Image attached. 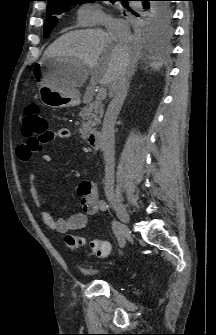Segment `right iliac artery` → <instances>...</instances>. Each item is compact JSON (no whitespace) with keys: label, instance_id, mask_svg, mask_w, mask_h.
I'll return each instance as SVG.
<instances>
[{"label":"right iliac artery","instance_id":"obj_1","mask_svg":"<svg viewBox=\"0 0 216 335\" xmlns=\"http://www.w3.org/2000/svg\"><path fill=\"white\" fill-rule=\"evenodd\" d=\"M99 207L102 211L108 210V204L104 200H100ZM112 230L118 240L120 248H123L125 246V238L122 231V225L114 220L112 222Z\"/></svg>","mask_w":216,"mask_h":335}]
</instances>
